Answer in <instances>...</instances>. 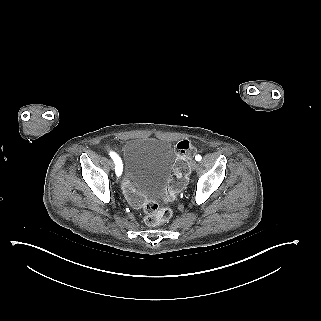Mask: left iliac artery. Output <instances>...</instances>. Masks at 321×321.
I'll return each mask as SVG.
<instances>
[{
    "mask_svg": "<svg viewBox=\"0 0 321 321\" xmlns=\"http://www.w3.org/2000/svg\"><path fill=\"white\" fill-rule=\"evenodd\" d=\"M195 159H196V161H200L202 159V157L200 155H196Z\"/></svg>",
    "mask_w": 321,
    "mask_h": 321,
    "instance_id": "obj_1",
    "label": "left iliac artery"
}]
</instances>
